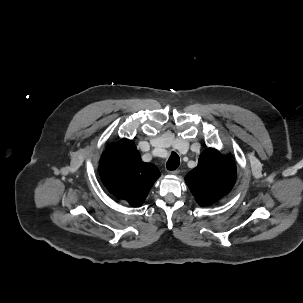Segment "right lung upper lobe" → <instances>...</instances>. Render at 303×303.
Masks as SVG:
<instances>
[{"instance_id":"1","label":"right lung upper lobe","mask_w":303,"mask_h":303,"mask_svg":"<svg viewBox=\"0 0 303 303\" xmlns=\"http://www.w3.org/2000/svg\"><path fill=\"white\" fill-rule=\"evenodd\" d=\"M99 174L111 194L134 207L142 205L160 176L155 165L141 160L134 142L128 139L106 147L99 162Z\"/></svg>"}]
</instances>
